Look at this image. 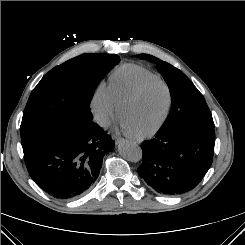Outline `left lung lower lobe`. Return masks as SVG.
Wrapping results in <instances>:
<instances>
[{
    "label": "left lung lower lobe",
    "mask_w": 245,
    "mask_h": 245,
    "mask_svg": "<svg viewBox=\"0 0 245 245\" xmlns=\"http://www.w3.org/2000/svg\"><path fill=\"white\" fill-rule=\"evenodd\" d=\"M214 127L182 120L142 144V164L137 169L158 193H185L202 180L213 160Z\"/></svg>",
    "instance_id": "1"
}]
</instances>
